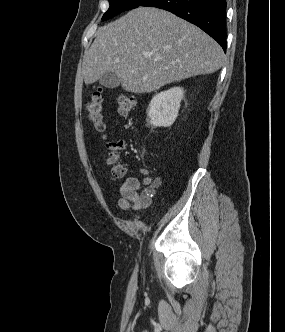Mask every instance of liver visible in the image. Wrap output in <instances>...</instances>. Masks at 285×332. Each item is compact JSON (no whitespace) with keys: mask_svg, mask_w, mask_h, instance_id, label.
Wrapping results in <instances>:
<instances>
[{"mask_svg":"<svg viewBox=\"0 0 285 332\" xmlns=\"http://www.w3.org/2000/svg\"><path fill=\"white\" fill-rule=\"evenodd\" d=\"M220 45L197 26L153 7H138L98 29L82 76L93 84L114 73L125 91L149 93L223 66Z\"/></svg>","mask_w":285,"mask_h":332,"instance_id":"1","label":"liver"}]
</instances>
